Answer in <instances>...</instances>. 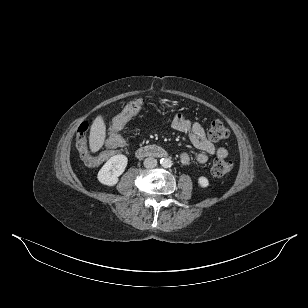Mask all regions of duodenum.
Segmentation results:
<instances>
[{
    "mask_svg": "<svg viewBox=\"0 0 308 308\" xmlns=\"http://www.w3.org/2000/svg\"><path fill=\"white\" fill-rule=\"evenodd\" d=\"M168 155L167 151L160 146L150 145L141 147L136 151V156L138 158L145 157H166Z\"/></svg>",
    "mask_w": 308,
    "mask_h": 308,
    "instance_id": "410a0bca",
    "label": "duodenum"
}]
</instances>
